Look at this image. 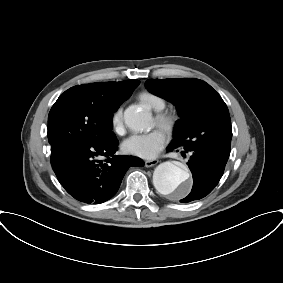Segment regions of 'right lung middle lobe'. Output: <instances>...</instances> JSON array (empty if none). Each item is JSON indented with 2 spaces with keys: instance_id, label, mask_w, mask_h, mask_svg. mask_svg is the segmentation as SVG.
I'll use <instances>...</instances> for the list:
<instances>
[{
  "instance_id": "dd1d6c3e",
  "label": "right lung middle lobe",
  "mask_w": 283,
  "mask_h": 283,
  "mask_svg": "<svg viewBox=\"0 0 283 283\" xmlns=\"http://www.w3.org/2000/svg\"><path fill=\"white\" fill-rule=\"evenodd\" d=\"M119 106L102 108L74 86L55 102L48 116L51 147L79 142L105 144L116 136L111 131L113 113Z\"/></svg>"
}]
</instances>
